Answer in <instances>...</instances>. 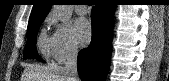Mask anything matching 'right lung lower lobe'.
Returning <instances> with one entry per match:
<instances>
[{
	"label": "right lung lower lobe",
	"instance_id": "98d812e1",
	"mask_svg": "<svg viewBox=\"0 0 169 81\" xmlns=\"http://www.w3.org/2000/svg\"><path fill=\"white\" fill-rule=\"evenodd\" d=\"M114 9L115 5L105 0L92 8V40L79 52L77 59L82 81H105L110 63Z\"/></svg>",
	"mask_w": 169,
	"mask_h": 81
}]
</instances>
